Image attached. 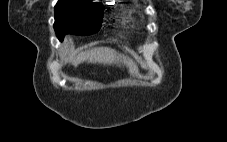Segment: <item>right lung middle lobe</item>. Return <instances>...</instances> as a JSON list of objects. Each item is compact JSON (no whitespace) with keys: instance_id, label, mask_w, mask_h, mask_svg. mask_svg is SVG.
I'll list each match as a JSON object with an SVG mask.
<instances>
[{"instance_id":"1","label":"right lung middle lobe","mask_w":227,"mask_h":142,"mask_svg":"<svg viewBox=\"0 0 227 142\" xmlns=\"http://www.w3.org/2000/svg\"><path fill=\"white\" fill-rule=\"evenodd\" d=\"M104 7L83 0H59L54 29L59 40L66 34L91 35L101 28Z\"/></svg>"}]
</instances>
